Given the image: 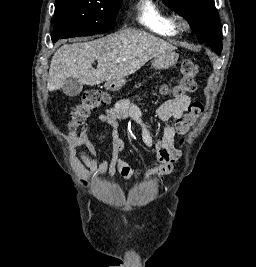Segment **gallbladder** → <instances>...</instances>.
I'll use <instances>...</instances> for the list:
<instances>
[{"instance_id":"1","label":"gallbladder","mask_w":256,"mask_h":267,"mask_svg":"<svg viewBox=\"0 0 256 267\" xmlns=\"http://www.w3.org/2000/svg\"><path fill=\"white\" fill-rule=\"evenodd\" d=\"M62 90L66 96L75 98V96H79L80 92H82L83 84L79 82L78 78H67L62 86Z\"/></svg>"}]
</instances>
